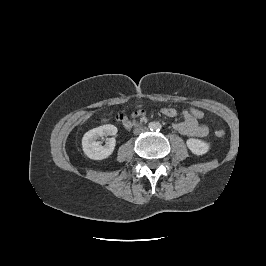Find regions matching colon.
Instances as JSON below:
<instances>
[{
	"label": "colon",
	"mask_w": 266,
	"mask_h": 266,
	"mask_svg": "<svg viewBox=\"0 0 266 266\" xmlns=\"http://www.w3.org/2000/svg\"><path fill=\"white\" fill-rule=\"evenodd\" d=\"M188 112L191 114V116L193 118H195L196 120H202L205 118V113L196 107H191ZM215 135L219 138L223 137L225 135V131L224 130H216L215 131Z\"/></svg>",
	"instance_id": "1"
}]
</instances>
